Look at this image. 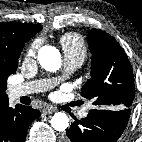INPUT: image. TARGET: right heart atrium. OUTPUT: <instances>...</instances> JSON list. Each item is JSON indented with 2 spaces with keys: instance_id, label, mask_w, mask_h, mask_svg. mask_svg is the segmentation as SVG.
I'll list each match as a JSON object with an SVG mask.
<instances>
[{
  "instance_id": "1",
  "label": "right heart atrium",
  "mask_w": 142,
  "mask_h": 142,
  "mask_svg": "<svg viewBox=\"0 0 142 142\" xmlns=\"http://www.w3.org/2000/svg\"><path fill=\"white\" fill-rule=\"evenodd\" d=\"M39 47H40L39 40L32 42L26 49L24 60L25 61L34 60Z\"/></svg>"
}]
</instances>
